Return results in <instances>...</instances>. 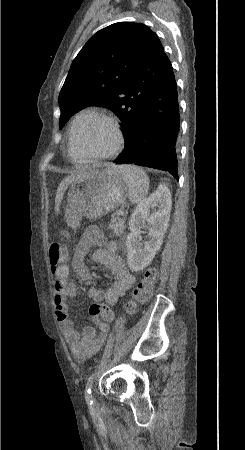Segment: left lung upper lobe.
Here are the masks:
<instances>
[{"instance_id":"1","label":"left lung upper lobe","mask_w":245,"mask_h":450,"mask_svg":"<svg viewBox=\"0 0 245 450\" xmlns=\"http://www.w3.org/2000/svg\"><path fill=\"white\" fill-rule=\"evenodd\" d=\"M157 35L141 23L119 22L92 36L60 91L61 129L80 108H109L122 121L125 142L138 114L170 64Z\"/></svg>"}]
</instances>
